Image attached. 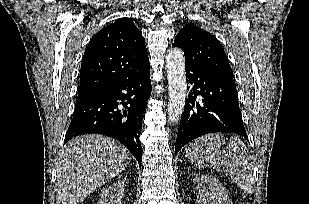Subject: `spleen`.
Here are the masks:
<instances>
[{"instance_id": "obj_1", "label": "spleen", "mask_w": 309, "mask_h": 204, "mask_svg": "<svg viewBox=\"0 0 309 204\" xmlns=\"http://www.w3.org/2000/svg\"><path fill=\"white\" fill-rule=\"evenodd\" d=\"M225 143L221 133L205 135L189 143L185 155L198 169L209 166L225 170L244 193L251 194L254 191L253 165L246 146L239 138L232 137L221 151Z\"/></svg>"}]
</instances>
